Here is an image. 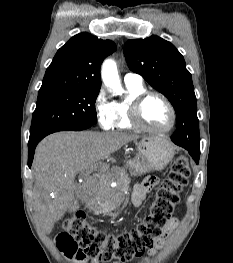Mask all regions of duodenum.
I'll return each instance as SVG.
<instances>
[{
    "instance_id": "410a0bca",
    "label": "duodenum",
    "mask_w": 233,
    "mask_h": 263,
    "mask_svg": "<svg viewBox=\"0 0 233 263\" xmlns=\"http://www.w3.org/2000/svg\"><path fill=\"white\" fill-rule=\"evenodd\" d=\"M86 207L89 210H93L96 207V201L93 197L88 196L86 199Z\"/></svg>"
}]
</instances>
